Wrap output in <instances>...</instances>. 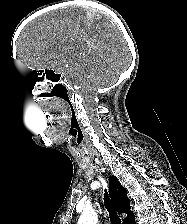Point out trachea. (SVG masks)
Returning a JSON list of instances; mask_svg holds the SVG:
<instances>
[{
	"label": "trachea",
	"mask_w": 187,
	"mask_h": 224,
	"mask_svg": "<svg viewBox=\"0 0 187 224\" xmlns=\"http://www.w3.org/2000/svg\"><path fill=\"white\" fill-rule=\"evenodd\" d=\"M104 203H105V207H106L107 211L109 212V217H110L111 223L112 224H121V219L119 218L115 209L113 208L106 190H105V194H104Z\"/></svg>",
	"instance_id": "trachea-1"
}]
</instances>
